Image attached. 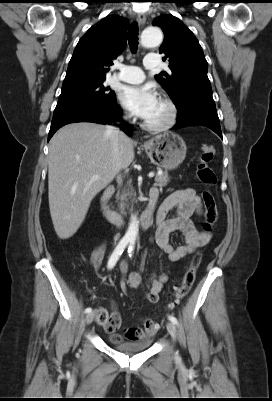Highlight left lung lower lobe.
<instances>
[{
    "label": "left lung lower lobe",
    "instance_id": "left-lung-lower-lobe-1",
    "mask_svg": "<svg viewBox=\"0 0 272 401\" xmlns=\"http://www.w3.org/2000/svg\"><path fill=\"white\" fill-rule=\"evenodd\" d=\"M177 110V124L172 129L201 125L212 129L223 139L214 101L193 100Z\"/></svg>",
    "mask_w": 272,
    "mask_h": 401
}]
</instances>
